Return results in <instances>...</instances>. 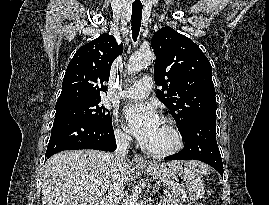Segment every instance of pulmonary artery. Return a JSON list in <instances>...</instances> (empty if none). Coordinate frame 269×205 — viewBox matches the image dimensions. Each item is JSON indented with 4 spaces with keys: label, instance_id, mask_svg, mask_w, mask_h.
Masks as SVG:
<instances>
[{
    "label": "pulmonary artery",
    "instance_id": "1",
    "mask_svg": "<svg viewBox=\"0 0 269 205\" xmlns=\"http://www.w3.org/2000/svg\"><path fill=\"white\" fill-rule=\"evenodd\" d=\"M153 81L151 78H141L133 86L121 92V98L128 99H143L146 98L152 91Z\"/></svg>",
    "mask_w": 269,
    "mask_h": 205
}]
</instances>
